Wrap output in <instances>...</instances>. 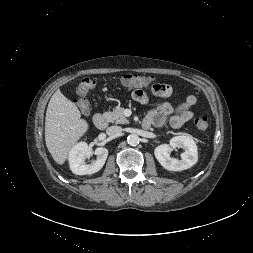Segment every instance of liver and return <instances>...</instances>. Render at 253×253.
I'll return each mask as SVG.
<instances>
[{
  "instance_id": "1",
  "label": "liver",
  "mask_w": 253,
  "mask_h": 253,
  "mask_svg": "<svg viewBox=\"0 0 253 253\" xmlns=\"http://www.w3.org/2000/svg\"><path fill=\"white\" fill-rule=\"evenodd\" d=\"M88 128L77 106L58 89L49 101L45 118V142L56 163H65L71 149Z\"/></svg>"
}]
</instances>
